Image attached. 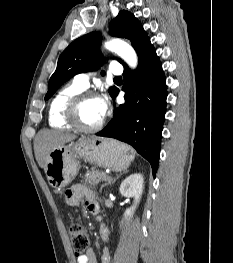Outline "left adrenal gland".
<instances>
[{
    "label": "left adrenal gland",
    "instance_id": "a2214340",
    "mask_svg": "<svg viewBox=\"0 0 233 263\" xmlns=\"http://www.w3.org/2000/svg\"><path fill=\"white\" fill-rule=\"evenodd\" d=\"M126 172H127V171H125L124 173H126ZM124 173H121V174L117 175L114 179L109 180L106 184L102 185L101 188H100V192L102 191V189H103L104 186H107V185H109V184H113V183H114L122 174H124Z\"/></svg>",
    "mask_w": 233,
    "mask_h": 263
}]
</instances>
